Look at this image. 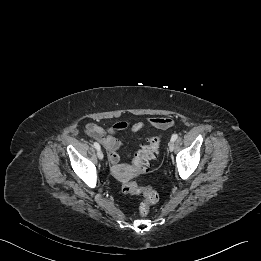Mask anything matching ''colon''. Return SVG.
I'll return each mask as SVG.
<instances>
[{
    "label": "colon",
    "instance_id": "colon-1",
    "mask_svg": "<svg viewBox=\"0 0 261 261\" xmlns=\"http://www.w3.org/2000/svg\"><path fill=\"white\" fill-rule=\"evenodd\" d=\"M160 138L151 137L148 143L137 151L133 158V168L131 173H143L147 170L150 161H152L158 153ZM117 176H122L120 169H115ZM122 192L126 195H141L143 200L140 204V214L145 216L149 213L150 208L158 200L157 192L150 186H140L131 179H125L122 183Z\"/></svg>",
    "mask_w": 261,
    "mask_h": 261
}]
</instances>
